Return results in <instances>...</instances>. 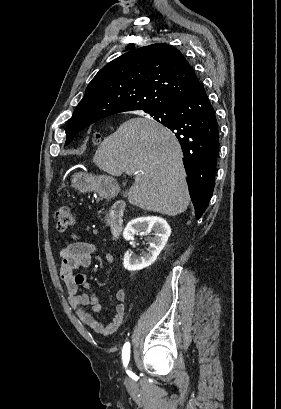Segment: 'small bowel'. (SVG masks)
Segmentation results:
<instances>
[{"label":"small bowel","mask_w":281,"mask_h":409,"mask_svg":"<svg viewBox=\"0 0 281 409\" xmlns=\"http://www.w3.org/2000/svg\"><path fill=\"white\" fill-rule=\"evenodd\" d=\"M95 245L84 240L79 235L73 234L71 240L66 242L60 250L61 258V279L67 290V300L75 310L79 320L93 332L100 335H110L116 332L122 325L126 315V292L118 289L115 293L117 304L111 322L104 326L92 313L85 310V306H90L93 313H100L102 303L98 296L91 290V285L86 274L75 271L78 268L89 266ZM105 262L112 264L114 257L112 254L105 255ZM83 286L85 292H79V287Z\"/></svg>","instance_id":"obj_1"}]
</instances>
